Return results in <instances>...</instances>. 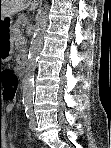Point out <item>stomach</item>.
I'll use <instances>...</instances> for the list:
<instances>
[{"label":"stomach","instance_id":"1","mask_svg":"<svg viewBox=\"0 0 111 148\" xmlns=\"http://www.w3.org/2000/svg\"><path fill=\"white\" fill-rule=\"evenodd\" d=\"M12 18L0 19V62H7L12 58L13 39L11 34Z\"/></svg>","mask_w":111,"mask_h":148}]
</instances>
